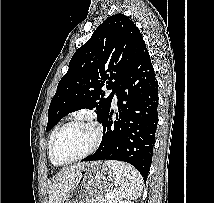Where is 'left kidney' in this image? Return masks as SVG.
<instances>
[{"label": "left kidney", "instance_id": "1", "mask_svg": "<svg viewBox=\"0 0 214 203\" xmlns=\"http://www.w3.org/2000/svg\"><path fill=\"white\" fill-rule=\"evenodd\" d=\"M119 203H133L132 201H120Z\"/></svg>", "mask_w": 214, "mask_h": 203}]
</instances>
